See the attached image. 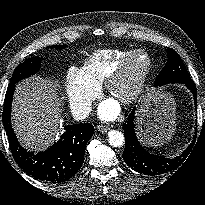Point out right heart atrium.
<instances>
[{
  "label": "right heart atrium",
  "instance_id": "right-heart-atrium-1",
  "mask_svg": "<svg viewBox=\"0 0 205 205\" xmlns=\"http://www.w3.org/2000/svg\"><path fill=\"white\" fill-rule=\"evenodd\" d=\"M65 89L72 112L82 114L88 111L99 87L87 81L79 68L72 66L67 72Z\"/></svg>",
  "mask_w": 205,
  "mask_h": 205
}]
</instances>
